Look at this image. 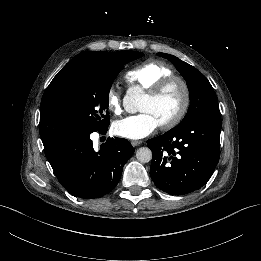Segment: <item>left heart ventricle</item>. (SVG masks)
<instances>
[{"instance_id": "1", "label": "left heart ventricle", "mask_w": 261, "mask_h": 261, "mask_svg": "<svg viewBox=\"0 0 261 261\" xmlns=\"http://www.w3.org/2000/svg\"><path fill=\"white\" fill-rule=\"evenodd\" d=\"M183 101V92L179 85L169 88L161 97L152 100L147 96L140 105V111L151 112L159 123L172 118L180 109Z\"/></svg>"}]
</instances>
